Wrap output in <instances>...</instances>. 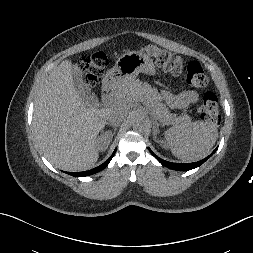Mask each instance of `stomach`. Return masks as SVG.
<instances>
[{
  "label": "stomach",
  "instance_id": "1",
  "mask_svg": "<svg viewBox=\"0 0 253 253\" xmlns=\"http://www.w3.org/2000/svg\"><path fill=\"white\" fill-rule=\"evenodd\" d=\"M141 72L154 75L156 70L153 60L141 52H127L117 59L115 66L105 75L103 83L108 88L117 89Z\"/></svg>",
  "mask_w": 253,
  "mask_h": 253
}]
</instances>
